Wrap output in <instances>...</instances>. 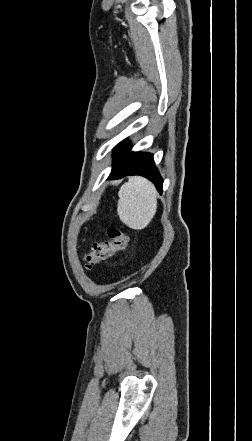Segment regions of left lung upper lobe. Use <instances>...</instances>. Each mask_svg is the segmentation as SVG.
<instances>
[{
	"label": "left lung upper lobe",
	"instance_id": "5c2ea615",
	"mask_svg": "<svg viewBox=\"0 0 252 441\" xmlns=\"http://www.w3.org/2000/svg\"><path fill=\"white\" fill-rule=\"evenodd\" d=\"M120 147H121V144H119V145L117 146V149L114 151V156H116V154L118 153Z\"/></svg>",
	"mask_w": 252,
	"mask_h": 441
}]
</instances>
